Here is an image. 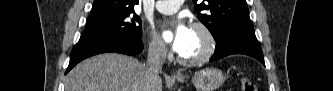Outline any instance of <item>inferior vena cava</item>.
I'll return each instance as SVG.
<instances>
[{
  "mask_svg": "<svg viewBox=\"0 0 333 91\" xmlns=\"http://www.w3.org/2000/svg\"><path fill=\"white\" fill-rule=\"evenodd\" d=\"M166 60V49L163 42H156L149 46L146 67V76L149 80L159 78V73Z\"/></svg>",
  "mask_w": 333,
  "mask_h": 91,
  "instance_id": "inferior-vena-cava-1",
  "label": "inferior vena cava"
}]
</instances>
